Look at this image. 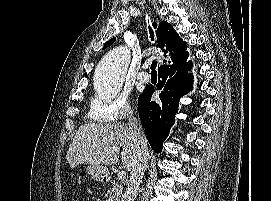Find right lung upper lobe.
<instances>
[{"label": "right lung upper lobe", "mask_w": 271, "mask_h": 201, "mask_svg": "<svg viewBox=\"0 0 271 201\" xmlns=\"http://www.w3.org/2000/svg\"><path fill=\"white\" fill-rule=\"evenodd\" d=\"M153 26L156 28L157 24L153 23ZM156 34L159 47L167 58V60H163V62L171 63L181 57L184 52L185 43L180 39L178 33L169 23L161 21L157 27ZM114 41L115 38L109 40L104 45V48L109 47Z\"/></svg>", "instance_id": "right-lung-upper-lobe-1"}]
</instances>
